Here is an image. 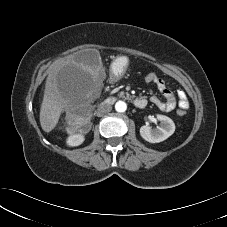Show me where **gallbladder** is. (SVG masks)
I'll list each match as a JSON object with an SVG mask.
<instances>
[{
	"instance_id": "gallbladder-1",
	"label": "gallbladder",
	"mask_w": 227,
	"mask_h": 227,
	"mask_svg": "<svg viewBox=\"0 0 227 227\" xmlns=\"http://www.w3.org/2000/svg\"><path fill=\"white\" fill-rule=\"evenodd\" d=\"M76 61L89 67H97L100 65V56L94 49H85L77 54Z\"/></svg>"
}]
</instances>
